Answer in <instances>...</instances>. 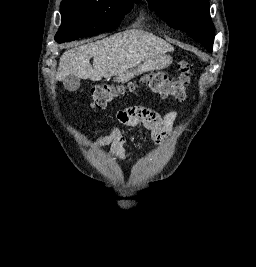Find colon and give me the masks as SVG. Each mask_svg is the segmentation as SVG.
Listing matches in <instances>:
<instances>
[{"label":"colon","instance_id":"obj_1","mask_svg":"<svg viewBox=\"0 0 256 267\" xmlns=\"http://www.w3.org/2000/svg\"><path fill=\"white\" fill-rule=\"evenodd\" d=\"M180 76L173 81L167 75L156 73H143L138 81L104 83L96 86L91 92L90 105L93 109H104L116 98L134 92L137 83L145 84L154 93L162 97H172L176 101H183L186 97V88L190 86L195 66L190 61L179 63Z\"/></svg>","mask_w":256,"mask_h":267}]
</instances>
